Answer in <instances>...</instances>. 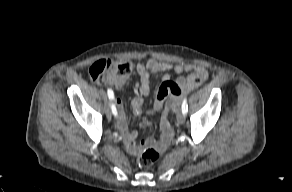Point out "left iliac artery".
<instances>
[{
  "label": "left iliac artery",
  "instance_id": "obj_1",
  "mask_svg": "<svg viewBox=\"0 0 292 192\" xmlns=\"http://www.w3.org/2000/svg\"><path fill=\"white\" fill-rule=\"evenodd\" d=\"M187 112H188L187 99L184 98L183 103H182V113L186 114Z\"/></svg>",
  "mask_w": 292,
  "mask_h": 192
}]
</instances>
